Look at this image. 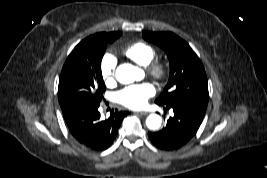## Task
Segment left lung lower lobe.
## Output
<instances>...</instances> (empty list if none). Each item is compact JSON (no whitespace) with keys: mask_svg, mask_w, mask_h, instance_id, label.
<instances>
[{"mask_svg":"<svg viewBox=\"0 0 267 178\" xmlns=\"http://www.w3.org/2000/svg\"><path fill=\"white\" fill-rule=\"evenodd\" d=\"M163 106L171 109L174 116L167 120L160 131L148 133L152 143L162 150H176L187 144L197 133L204 115L180 105Z\"/></svg>","mask_w":267,"mask_h":178,"instance_id":"0a47b994","label":"left lung lower lobe"}]
</instances>
